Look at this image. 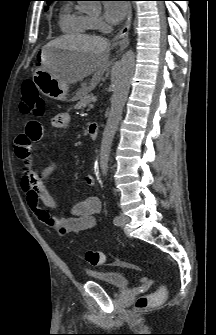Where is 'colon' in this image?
<instances>
[{
  "label": "colon",
  "instance_id": "1",
  "mask_svg": "<svg viewBox=\"0 0 216 335\" xmlns=\"http://www.w3.org/2000/svg\"><path fill=\"white\" fill-rule=\"evenodd\" d=\"M21 111L26 115L42 116L46 111L45 102L42 99L35 83L26 80L22 84V100L20 103ZM85 260L91 266H100L105 261V256L100 251L86 250ZM166 296L165 289H159L157 292L140 296L135 307L143 310L161 302Z\"/></svg>",
  "mask_w": 216,
  "mask_h": 335
}]
</instances>
